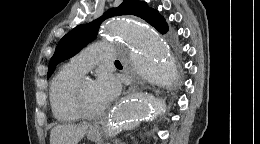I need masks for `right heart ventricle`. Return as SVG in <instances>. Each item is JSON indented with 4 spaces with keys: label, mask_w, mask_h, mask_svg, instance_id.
<instances>
[{
    "label": "right heart ventricle",
    "mask_w": 260,
    "mask_h": 144,
    "mask_svg": "<svg viewBox=\"0 0 260 144\" xmlns=\"http://www.w3.org/2000/svg\"><path fill=\"white\" fill-rule=\"evenodd\" d=\"M83 72L72 63L63 65L50 84V104L54 117L61 123H72L80 116L73 107V95Z\"/></svg>",
    "instance_id": "1"
}]
</instances>
